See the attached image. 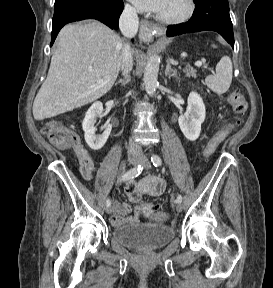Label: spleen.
<instances>
[{"mask_svg":"<svg viewBox=\"0 0 273 288\" xmlns=\"http://www.w3.org/2000/svg\"><path fill=\"white\" fill-rule=\"evenodd\" d=\"M216 47L215 45H212ZM232 62L230 57L224 56L216 65V73L215 75H209L206 78L207 86L217 94L225 93L232 82Z\"/></svg>","mask_w":273,"mask_h":288,"instance_id":"3e777b00","label":"spleen"}]
</instances>
